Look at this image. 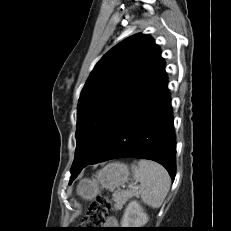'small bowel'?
I'll use <instances>...</instances> for the list:
<instances>
[{
	"label": "small bowel",
	"instance_id": "c3829d8e",
	"mask_svg": "<svg viewBox=\"0 0 231 231\" xmlns=\"http://www.w3.org/2000/svg\"><path fill=\"white\" fill-rule=\"evenodd\" d=\"M117 221L114 217H109L105 222V231H109L112 227L116 226Z\"/></svg>",
	"mask_w": 231,
	"mask_h": 231
}]
</instances>
